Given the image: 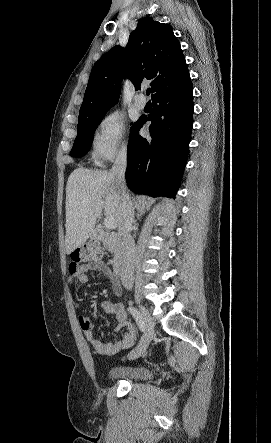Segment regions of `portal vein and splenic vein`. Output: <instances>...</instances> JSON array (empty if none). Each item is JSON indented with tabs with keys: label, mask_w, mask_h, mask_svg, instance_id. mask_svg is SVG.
I'll list each match as a JSON object with an SVG mask.
<instances>
[{
	"label": "portal vein and splenic vein",
	"mask_w": 271,
	"mask_h": 443,
	"mask_svg": "<svg viewBox=\"0 0 271 443\" xmlns=\"http://www.w3.org/2000/svg\"><path fill=\"white\" fill-rule=\"evenodd\" d=\"M104 225L105 227H108V229H114V227H117L116 220H114L112 216H109V218H105Z\"/></svg>",
	"instance_id": "18ae733b"
}]
</instances>
